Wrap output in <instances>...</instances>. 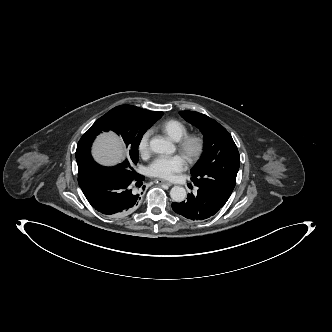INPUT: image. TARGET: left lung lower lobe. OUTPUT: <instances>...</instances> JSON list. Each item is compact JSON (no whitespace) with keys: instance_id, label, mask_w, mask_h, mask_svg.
<instances>
[{"instance_id":"left-lung-lower-lobe-1","label":"left lung lower lobe","mask_w":332,"mask_h":332,"mask_svg":"<svg viewBox=\"0 0 332 332\" xmlns=\"http://www.w3.org/2000/svg\"><path fill=\"white\" fill-rule=\"evenodd\" d=\"M225 203L219 196L198 187L196 194H188L181 203H172V208L187 219L201 221L215 215Z\"/></svg>"}]
</instances>
